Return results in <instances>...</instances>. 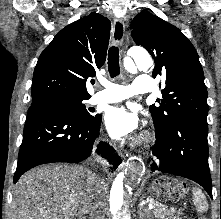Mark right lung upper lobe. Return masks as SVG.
Listing matches in <instances>:
<instances>
[{
  "instance_id": "right-lung-upper-lobe-1",
  "label": "right lung upper lobe",
  "mask_w": 221,
  "mask_h": 219,
  "mask_svg": "<svg viewBox=\"0 0 221 219\" xmlns=\"http://www.w3.org/2000/svg\"><path fill=\"white\" fill-rule=\"evenodd\" d=\"M110 27L109 19L92 12L58 32L35 67L32 102L89 99L86 81L106 60Z\"/></svg>"
}]
</instances>
